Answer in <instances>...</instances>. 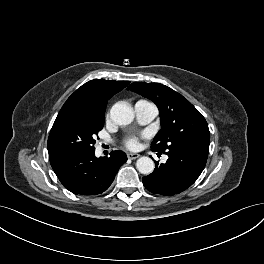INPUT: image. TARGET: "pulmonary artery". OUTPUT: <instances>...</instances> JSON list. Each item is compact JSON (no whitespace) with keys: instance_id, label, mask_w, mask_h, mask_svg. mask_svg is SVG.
Here are the masks:
<instances>
[{"instance_id":"obj_1","label":"pulmonary artery","mask_w":264,"mask_h":264,"mask_svg":"<svg viewBox=\"0 0 264 264\" xmlns=\"http://www.w3.org/2000/svg\"><path fill=\"white\" fill-rule=\"evenodd\" d=\"M136 118L140 124L150 123L158 113L157 107L148 101L140 100L134 106ZM166 160L167 157H164Z\"/></svg>"}]
</instances>
